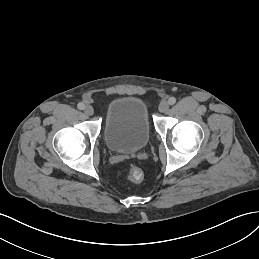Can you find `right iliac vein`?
<instances>
[{"label": "right iliac vein", "mask_w": 259, "mask_h": 259, "mask_svg": "<svg viewBox=\"0 0 259 259\" xmlns=\"http://www.w3.org/2000/svg\"><path fill=\"white\" fill-rule=\"evenodd\" d=\"M86 115L91 116L94 114V109L91 106H86L84 109Z\"/></svg>", "instance_id": "right-iliac-vein-1"}]
</instances>
